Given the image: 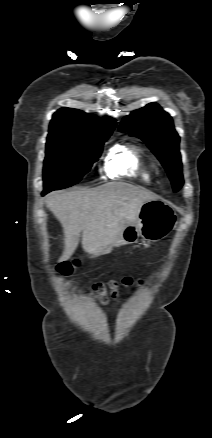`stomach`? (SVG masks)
I'll list each match as a JSON object with an SVG mask.
<instances>
[{"mask_svg": "<svg viewBox=\"0 0 212 438\" xmlns=\"http://www.w3.org/2000/svg\"><path fill=\"white\" fill-rule=\"evenodd\" d=\"M177 225L175 211L164 201L155 199L145 202L137 219L128 224L119 240L112 247L135 243L139 237L147 242L166 238Z\"/></svg>", "mask_w": 212, "mask_h": 438, "instance_id": "1", "label": "stomach"}]
</instances>
